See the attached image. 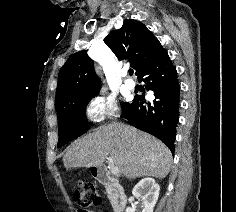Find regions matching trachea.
<instances>
[{
	"label": "trachea",
	"instance_id": "obj_1",
	"mask_svg": "<svg viewBox=\"0 0 236 212\" xmlns=\"http://www.w3.org/2000/svg\"><path fill=\"white\" fill-rule=\"evenodd\" d=\"M129 75H133V69L129 70Z\"/></svg>",
	"mask_w": 236,
	"mask_h": 212
}]
</instances>
